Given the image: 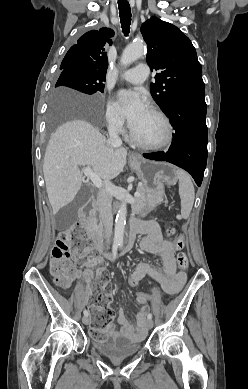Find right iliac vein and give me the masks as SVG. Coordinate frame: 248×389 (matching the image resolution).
<instances>
[{"label": "right iliac vein", "mask_w": 248, "mask_h": 389, "mask_svg": "<svg viewBox=\"0 0 248 389\" xmlns=\"http://www.w3.org/2000/svg\"><path fill=\"white\" fill-rule=\"evenodd\" d=\"M82 322H83V324L88 325L89 322H90L89 317H88V316H84V317L82 318Z\"/></svg>", "instance_id": "right-iliac-vein-1"}]
</instances>
